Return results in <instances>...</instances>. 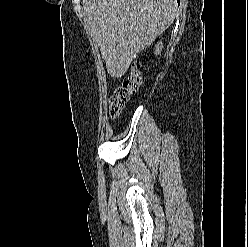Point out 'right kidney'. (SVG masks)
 Returning <instances> with one entry per match:
<instances>
[{
  "instance_id": "right-kidney-1",
  "label": "right kidney",
  "mask_w": 248,
  "mask_h": 247,
  "mask_svg": "<svg viewBox=\"0 0 248 247\" xmlns=\"http://www.w3.org/2000/svg\"><path fill=\"white\" fill-rule=\"evenodd\" d=\"M162 42L160 41L159 43H157V45H155V54H159L161 49H162Z\"/></svg>"
}]
</instances>
